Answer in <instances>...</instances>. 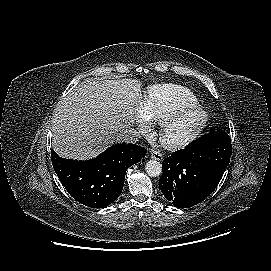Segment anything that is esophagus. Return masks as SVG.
Instances as JSON below:
<instances>
[{
	"label": "esophagus",
	"instance_id": "1",
	"mask_svg": "<svg viewBox=\"0 0 271 271\" xmlns=\"http://www.w3.org/2000/svg\"><path fill=\"white\" fill-rule=\"evenodd\" d=\"M150 157L152 159H155V160H158V161H162V159H163V155L157 150H152L150 152Z\"/></svg>",
	"mask_w": 271,
	"mask_h": 271
}]
</instances>
